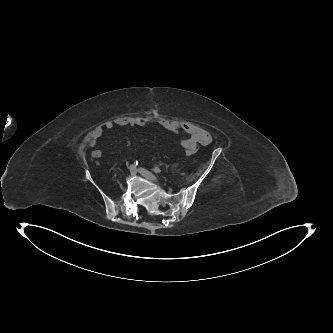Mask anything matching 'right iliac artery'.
<instances>
[{
  "label": "right iliac artery",
  "mask_w": 333,
  "mask_h": 333,
  "mask_svg": "<svg viewBox=\"0 0 333 333\" xmlns=\"http://www.w3.org/2000/svg\"><path fill=\"white\" fill-rule=\"evenodd\" d=\"M138 165V161L134 162V166H137Z\"/></svg>",
  "instance_id": "obj_1"
}]
</instances>
